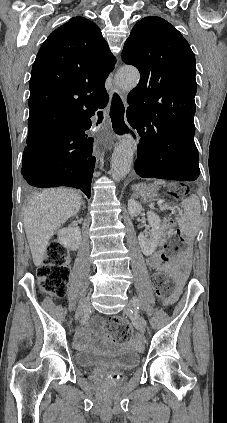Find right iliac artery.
Here are the masks:
<instances>
[{"instance_id":"1","label":"right iliac artery","mask_w":227,"mask_h":423,"mask_svg":"<svg viewBox=\"0 0 227 423\" xmlns=\"http://www.w3.org/2000/svg\"><path fill=\"white\" fill-rule=\"evenodd\" d=\"M90 318H91V317H90V313L87 311V312H84V313H83V317L81 318V320H80V321H81V323H82V324H84V325H85V324H87V323H88V321L90 320Z\"/></svg>"}]
</instances>
